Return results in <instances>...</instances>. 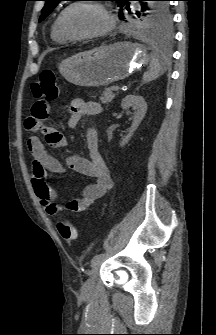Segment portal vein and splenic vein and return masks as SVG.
<instances>
[{
    "label": "portal vein and splenic vein",
    "instance_id": "18ae733b",
    "mask_svg": "<svg viewBox=\"0 0 216 335\" xmlns=\"http://www.w3.org/2000/svg\"><path fill=\"white\" fill-rule=\"evenodd\" d=\"M119 89H120V86H119V85H115V86L113 87V90H114V91H119Z\"/></svg>",
    "mask_w": 216,
    "mask_h": 335
}]
</instances>
